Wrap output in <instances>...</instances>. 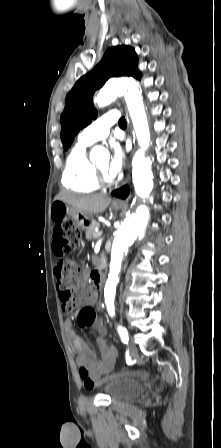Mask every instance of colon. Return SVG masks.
<instances>
[{"label":"colon","instance_id":"colon-1","mask_svg":"<svg viewBox=\"0 0 221 448\" xmlns=\"http://www.w3.org/2000/svg\"><path fill=\"white\" fill-rule=\"evenodd\" d=\"M64 209L61 206L55 208L53 218L57 220V226L54 228V234L61 240L58 249L60 251V261L55 271L56 282L59 287V295L62 302L67 303L73 300L75 290L79 283L76 275L74 263L66 256L74 252L80 246L81 234L73 218L63 216ZM84 325L92 324L96 319V311L93 307L87 306L83 309ZM132 376L147 378L150 372L134 371L129 373ZM80 375L83 380L84 388L93 389L102 381L93 379L85 367L80 368Z\"/></svg>","mask_w":221,"mask_h":448}]
</instances>
